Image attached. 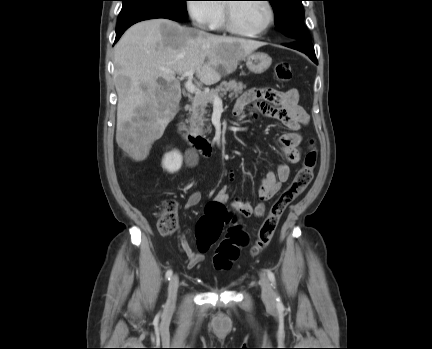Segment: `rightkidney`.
Segmentation results:
<instances>
[{"mask_svg": "<svg viewBox=\"0 0 432 349\" xmlns=\"http://www.w3.org/2000/svg\"><path fill=\"white\" fill-rule=\"evenodd\" d=\"M183 157L177 150H173L164 155L162 160V166L169 173H175L179 171L182 166Z\"/></svg>", "mask_w": 432, "mask_h": 349, "instance_id": "ca27d5eb", "label": "right kidney"}]
</instances>
